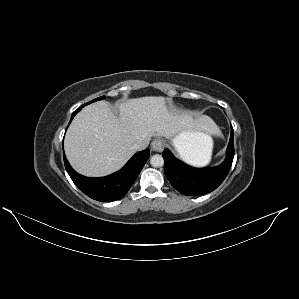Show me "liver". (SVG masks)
I'll use <instances>...</instances> for the list:
<instances>
[{
    "instance_id": "liver-1",
    "label": "liver",
    "mask_w": 299,
    "mask_h": 299,
    "mask_svg": "<svg viewBox=\"0 0 299 299\" xmlns=\"http://www.w3.org/2000/svg\"><path fill=\"white\" fill-rule=\"evenodd\" d=\"M162 96L129 99L114 115L106 102L83 108L69 126L64 149L71 166L86 176H105L119 170L135 153L133 145L151 137L168 139L189 127L219 134L218 127L209 128L206 121H191L168 108Z\"/></svg>"
}]
</instances>
